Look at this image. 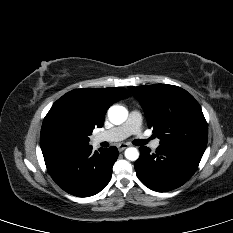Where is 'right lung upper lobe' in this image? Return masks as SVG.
<instances>
[{
	"mask_svg": "<svg viewBox=\"0 0 233 233\" xmlns=\"http://www.w3.org/2000/svg\"><path fill=\"white\" fill-rule=\"evenodd\" d=\"M128 97L129 91L121 87L75 89L59 98L48 113H60L92 133L103 126L109 106Z\"/></svg>",
	"mask_w": 233,
	"mask_h": 233,
	"instance_id": "1",
	"label": "right lung upper lobe"
}]
</instances>
